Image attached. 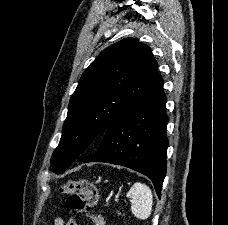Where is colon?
Segmentation results:
<instances>
[{
	"label": "colon",
	"instance_id": "colon-1",
	"mask_svg": "<svg viewBox=\"0 0 228 225\" xmlns=\"http://www.w3.org/2000/svg\"><path fill=\"white\" fill-rule=\"evenodd\" d=\"M60 194L68 196L71 214L82 215L93 225H105L103 218L94 212L98 198L96 185L86 179L69 180L61 184Z\"/></svg>",
	"mask_w": 228,
	"mask_h": 225
}]
</instances>
